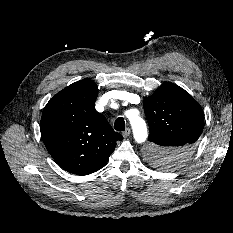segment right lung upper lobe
Returning a JSON list of instances; mask_svg holds the SVG:
<instances>
[{"mask_svg":"<svg viewBox=\"0 0 233 233\" xmlns=\"http://www.w3.org/2000/svg\"><path fill=\"white\" fill-rule=\"evenodd\" d=\"M97 85L91 79L58 92L44 108L40 130L54 160L67 172L88 175L101 169L123 139L96 111Z\"/></svg>","mask_w":233,"mask_h":233,"instance_id":"cb5924a9","label":"right lung upper lobe"}]
</instances>
